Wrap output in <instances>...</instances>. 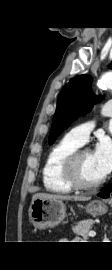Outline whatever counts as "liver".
Here are the masks:
<instances>
[{
    "label": "liver",
    "instance_id": "liver-1",
    "mask_svg": "<svg viewBox=\"0 0 112 270\" xmlns=\"http://www.w3.org/2000/svg\"><path fill=\"white\" fill-rule=\"evenodd\" d=\"M36 198L74 200V201H88V200H90V197L56 195V194H48V193H36L33 195L32 200H34Z\"/></svg>",
    "mask_w": 112,
    "mask_h": 270
}]
</instances>
